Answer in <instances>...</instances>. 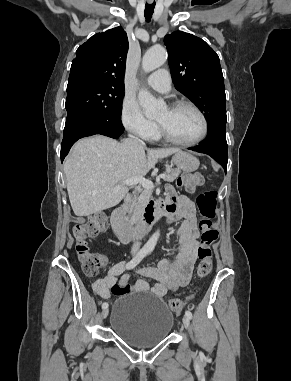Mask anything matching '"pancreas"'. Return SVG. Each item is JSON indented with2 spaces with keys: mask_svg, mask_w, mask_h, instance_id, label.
I'll list each match as a JSON object with an SVG mask.
<instances>
[{
  "mask_svg": "<svg viewBox=\"0 0 291 381\" xmlns=\"http://www.w3.org/2000/svg\"><path fill=\"white\" fill-rule=\"evenodd\" d=\"M180 174L179 169L166 168V178L165 180L168 182H172L176 179V177ZM152 196V189H145L142 191L141 195L131 204L129 208V222L134 224L139 219L140 212L145 206V204L150 200Z\"/></svg>",
  "mask_w": 291,
  "mask_h": 381,
  "instance_id": "1",
  "label": "pancreas"
}]
</instances>
